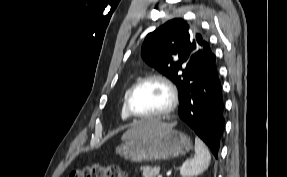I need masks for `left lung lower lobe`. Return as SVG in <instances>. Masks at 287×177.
<instances>
[{"label":"left lung lower lobe","mask_w":287,"mask_h":177,"mask_svg":"<svg viewBox=\"0 0 287 177\" xmlns=\"http://www.w3.org/2000/svg\"><path fill=\"white\" fill-rule=\"evenodd\" d=\"M212 53L180 95V118L207 144L218 158L220 139L224 129L221 83Z\"/></svg>","instance_id":"left-lung-lower-lobe-1"}]
</instances>
